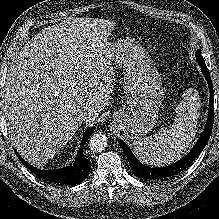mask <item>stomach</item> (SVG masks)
<instances>
[{"instance_id":"1","label":"stomach","mask_w":219,"mask_h":219,"mask_svg":"<svg viewBox=\"0 0 219 219\" xmlns=\"http://www.w3.org/2000/svg\"><path fill=\"white\" fill-rule=\"evenodd\" d=\"M111 62L123 68L122 87L127 101L112 121L126 137L149 133L158 120L164 97L162 78L145 48L133 39H118L108 49Z\"/></svg>"}]
</instances>
